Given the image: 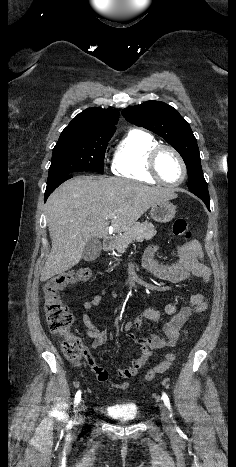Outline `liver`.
Returning a JSON list of instances; mask_svg holds the SVG:
<instances>
[{
  "label": "liver",
  "instance_id": "liver-1",
  "mask_svg": "<svg viewBox=\"0 0 236 467\" xmlns=\"http://www.w3.org/2000/svg\"><path fill=\"white\" fill-rule=\"evenodd\" d=\"M177 197L174 190L120 179L77 176L57 188L46 203L52 248L41 272L45 282L75 265L90 238L130 229L154 204Z\"/></svg>",
  "mask_w": 236,
  "mask_h": 467
}]
</instances>
